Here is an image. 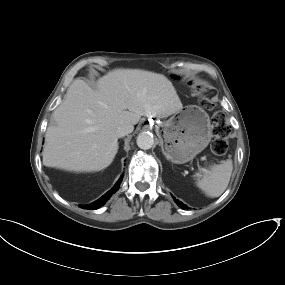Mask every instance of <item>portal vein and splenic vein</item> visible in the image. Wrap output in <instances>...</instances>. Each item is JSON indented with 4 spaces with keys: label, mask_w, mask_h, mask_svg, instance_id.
Instances as JSON below:
<instances>
[{
    "label": "portal vein and splenic vein",
    "mask_w": 285,
    "mask_h": 285,
    "mask_svg": "<svg viewBox=\"0 0 285 285\" xmlns=\"http://www.w3.org/2000/svg\"><path fill=\"white\" fill-rule=\"evenodd\" d=\"M198 168L201 169V170H205V169L201 168L199 165H198Z\"/></svg>",
    "instance_id": "obj_1"
}]
</instances>
